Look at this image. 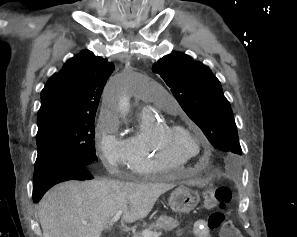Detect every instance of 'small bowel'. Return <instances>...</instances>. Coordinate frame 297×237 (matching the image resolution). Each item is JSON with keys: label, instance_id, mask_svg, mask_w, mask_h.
<instances>
[{"label": "small bowel", "instance_id": "1", "mask_svg": "<svg viewBox=\"0 0 297 237\" xmlns=\"http://www.w3.org/2000/svg\"><path fill=\"white\" fill-rule=\"evenodd\" d=\"M193 232L197 237H211L209 227L204 220L194 222Z\"/></svg>", "mask_w": 297, "mask_h": 237}]
</instances>
